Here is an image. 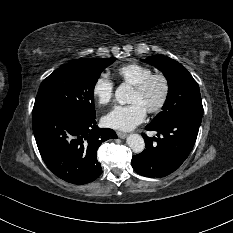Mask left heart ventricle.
Wrapping results in <instances>:
<instances>
[{"label":"left heart ventricle","mask_w":233,"mask_h":233,"mask_svg":"<svg viewBox=\"0 0 233 233\" xmlns=\"http://www.w3.org/2000/svg\"><path fill=\"white\" fill-rule=\"evenodd\" d=\"M161 95L162 84L160 81H154L144 93H138L134 90L130 102H138L147 110L158 103Z\"/></svg>","instance_id":"obj_1"}]
</instances>
